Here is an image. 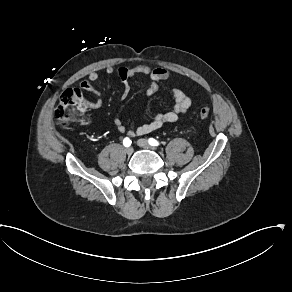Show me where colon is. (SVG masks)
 <instances>
[{
  "label": "colon",
  "mask_w": 292,
  "mask_h": 292,
  "mask_svg": "<svg viewBox=\"0 0 292 292\" xmlns=\"http://www.w3.org/2000/svg\"><path fill=\"white\" fill-rule=\"evenodd\" d=\"M186 89L189 87L186 86ZM196 90L195 88L193 89ZM211 113L209 104H204L199 110V117L206 119ZM87 114V107L82 92L78 88L66 89L54 110V118L60 125H68L78 117Z\"/></svg>",
  "instance_id": "5ec220e1"
}]
</instances>
